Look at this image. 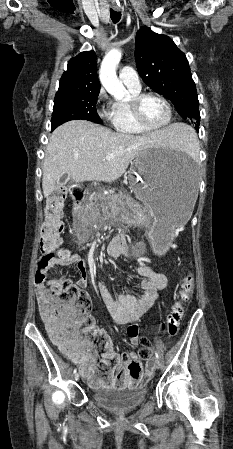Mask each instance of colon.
<instances>
[{"label":"colon","instance_id":"colon-1","mask_svg":"<svg viewBox=\"0 0 233 449\" xmlns=\"http://www.w3.org/2000/svg\"><path fill=\"white\" fill-rule=\"evenodd\" d=\"M64 201V193L53 194L47 199L41 236L43 256L38 261L37 281H46L47 270L54 257L67 255L65 250L59 249L62 241ZM193 288L194 277L192 274H187L181 283L180 297L171 307L166 323L162 326V331L169 337H175L179 331L185 304L188 302ZM90 306L91 301L87 294L72 284L53 285L44 290L40 298V312L55 345L65 346L69 341H78L88 348L97 347L105 342L106 337L97 330L88 314ZM139 344L141 347L137 356L124 357L119 363L120 376L124 374L140 375L142 366L139 359L149 357L151 347L146 337H140ZM115 385L117 388L124 387L119 377L116 379Z\"/></svg>","mask_w":233,"mask_h":449}]
</instances>
